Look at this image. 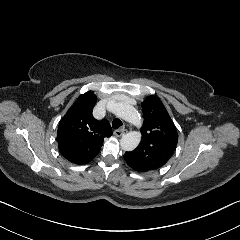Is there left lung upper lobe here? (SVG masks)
<instances>
[{
  "mask_svg": "<svg viewBox=\"0 0 240 240\" xmlns=\"http://www.w3.org/2000/svg\"><path fill=\"white\" fill-rule=\"evenodd\" d=\"M144 123L141 128L142 140L139 146L124 154L127 164L139 172L163 166L173 154L178 135L167 110L154 96L142 104Z\"/></svg>",
  "mask_w": 240,
  "mask_h": 240,
  "instance_id": "obj_1",
  "label": "left lung upper lobe"
}]
</instances>
